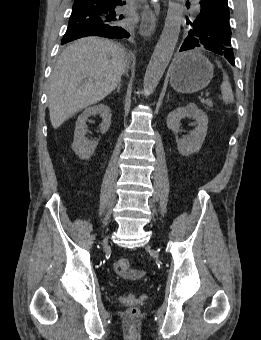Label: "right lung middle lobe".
<instances>
[{
	"label": "right lung middle lobe",
	"instance_id": "dd1d6c3e",
	"mask_svg": "<svg viewBox=\"0 0 261 340\" xmlns=\"http://www.w3.org/2000/svg\"><path fill=\"white\" fill-rule=\"evenodd\" d=\"M118 24H122V23H118ZM118 26H120V25H118ZM119 30H120L122 33H124V34H127L126 30H125V29H122L121 26L119 27ZM78 38H81V36H80V35H72V36H70V37H65V36H64L61 43H62V44H65V43H68V42H70V41L76 40V39H78Z\"/></svg>",
	"mask_w": 261,
	"mask_h": 340
}]
</instances>
